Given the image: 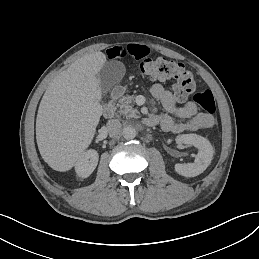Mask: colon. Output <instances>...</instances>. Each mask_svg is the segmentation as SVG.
<instances>
[{"label": "colon", "mask_w": 259, "mask_h": 259, "mask_svg": "<svg viewBox=\"0 0 259 259\" xmlns=\"http://www.w3.org/2000/svg\"><path fill=\"white\" fill-rule=\"evenodd\" d=\"M141 71L155 80L173 81L175 95L180 100L188 97L196 87L193 75L183 64L163 57L145 60L141 63ZM193 100L206 113L215 112L216 104L211 91H199L194 95Z\"/></svg>", "instance_id": "1"}]
</instances>
